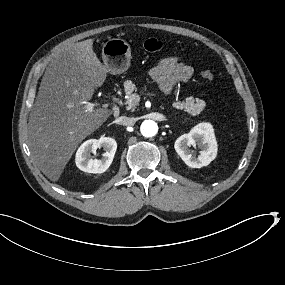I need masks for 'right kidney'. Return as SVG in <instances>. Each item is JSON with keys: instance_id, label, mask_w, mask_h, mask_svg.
Masks as SVG:
<instances>
[{"instance_id": "right-kidney-1", "label": "right kidney", "mask_w": 285, "mask_h": 285, "mask_svg": "<svg viewBox=\"0 0 285 285\" xmlns=\"http://www.w3.org/2000/svg\"><path fill=\"white\" fill-rule=\"evenodd\" d=\"M101 147H103L105 150V153H103V158L92 159L90 153H95L96 149ZM116 149L117 143L115 139L110 137L87 140L81 144L76 152V166L84 172L103 173L111 165Z\"/></svg>"}]
</instances>
